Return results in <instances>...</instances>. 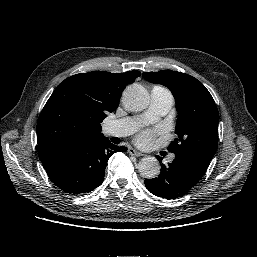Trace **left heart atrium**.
Returning a JSON list of instances; mask_svg holds the SVG:
<instances>
[{"label": "left heart atrium", "mask_w": 257, "mask_h": 257, "mask_svg": "<svg viewBox=\"0 0 257 257\" xmlns=\"http://www.w3.org/2000/svg\"><path fill=\"white\" fill-rule=\"evenodd\" d=\"M156 135L155 131L152 130H144L139 133V135L136 138V141L138 144L142 146L150 145Z\"/></svg>", "instance_id": "39dd6f15"}]
</instances>
